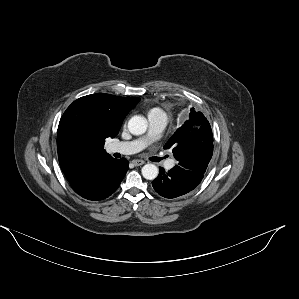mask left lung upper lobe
<instances>
[{"mask_svg": "<svg viewBox=\"0 0 299 299\" xmlns=\"http://www.w3.org/2000/svg\"><path fill=\"white\" fill-rule=\"evenodd\" d=\"M172 148L178 165L204 174L213 153L212 129L201 112L191 109L189 119L164 146Z\"/></svg>", "mask_w": 299, "mask_h": 299, "instance_id": "1", "label": "left lung upper lobe"}]
</instances>
